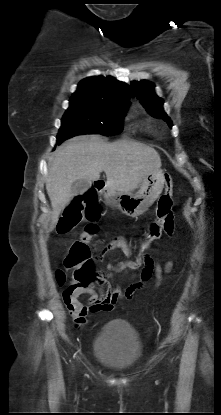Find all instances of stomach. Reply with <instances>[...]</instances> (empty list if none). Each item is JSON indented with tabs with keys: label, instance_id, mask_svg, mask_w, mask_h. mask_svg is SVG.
I'll use <instances>...</instances> for the list:
<instances>
[{
	"label": "stomach",
	"instance_id": "1",
	"mask_svg": "<svg viewBox=\"0 0 221 415\" xmlns=\"http://www.w3.org/2000/svg\"><path fill=\"white\" fill-rule=\"evenodd\" d=\"M164 183V173L159 169L147 174L143 178L140 189L134 194L118 193L106 189L103 195L108 205L119 209L126 216L137 217L145 213L159 197Z\"/></svg>",
	"mask_w": 221,
	"mask_h": 415
}]
</instances>
